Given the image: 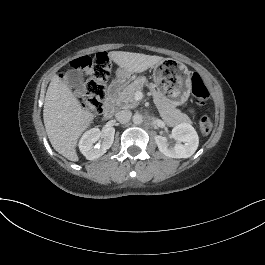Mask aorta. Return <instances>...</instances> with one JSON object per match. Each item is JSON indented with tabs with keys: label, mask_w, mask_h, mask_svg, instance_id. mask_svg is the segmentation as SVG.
<instances>
[{
	"label": "aorta",
	"mask_w": 265,
	"mask_h": 265,
	"mask_svg": "<svg viewBox=\"0 0 265 265\" xmlns=\"http://www.w3.org/2000/svg\"><path fill=\"white\" fill-rule=\"evenodd\" d=\"M142 121H143V117L141 114L136 113L133 115V123L134 124L139 125L142 123Z\"/></svg>",
	"instance_id": "aorta-1"
}]
</instances>
